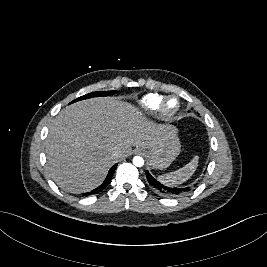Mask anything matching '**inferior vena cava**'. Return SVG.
<instances>
[{"instance_id": "inferior-vena-cava-1", "label": "inferior vena cava", "mask_w": 267, "mask_h": 267, "mask_svg": "<svg viewBox=\"0 0 267 267\" xmlns=\"http://www.w3.org/2000/svg\"><path fill=\"white\" fill-rule=\"evenodd\" d=\"M120 154H121L120 149H114V151H113V156L114 157H118Z\"/></svg>"}]
</instances>
